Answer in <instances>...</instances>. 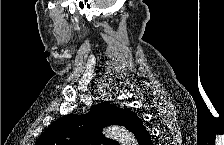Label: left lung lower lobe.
I'll use <instances>...</instances> for the list:
<instances>
[{
    "mask_svg": "<svg viewBox=\"0 0 224 145\" xmlns=\"http://www.w3.org/2000/svg\"><path fill=\"white\" fill-rule=\"evenodd\" d=\"M131 132L134 134L139 145H152L149 132L145 129L143 122L137 116H135L132 122Z\"/></svg>",
    "mask_w": 224,
    "mask_h": 145,
    "instance_id": "0a47b994",
    "label": "left lung lower lobe"
}]
</instances>
